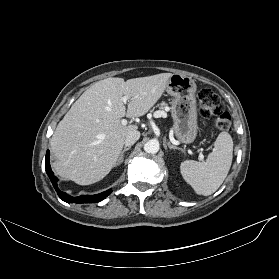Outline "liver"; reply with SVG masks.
Returning a JSON list of instances; mask_svg holds the SVG:
<instances>
[{"instance_id": "liver-1", "label": "liver", "mask_w": 279, "mask_h": 279, "mask_svg": "<svg viewBox=\"0 0 279 279\" xmlns=\"http://www.w3.org/2000/svg\"><path fill=\"white\" fill-rule=\"evenodd\" d=\"M173 74L124 81L107 78L93 84L71 106L50 140L55 172L79 185L102 180L115 166L127 134L136 125L121 118L145 115L160 99ZM127 96V111L122 97Z\"/></svg>"}]
</instances>
